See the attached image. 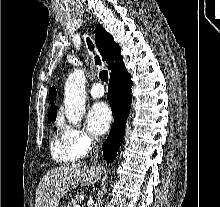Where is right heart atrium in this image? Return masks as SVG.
<instances>
[{"instance_id":"d8ad5b80","label":"right heart atrium","mask_w":220,"mask_h":207,"mask_svg":"<svg viewBox=\"0 0 220 207\" xmlns=\"http://www.w3.org/2000/svg\"><path fill=\"white\" fill-rule=\"evenodd\" d=\"M63 130L69 140L84 153H87L97 144V139L83 129L64 125Z\"/></svg>"}]
</instances>
